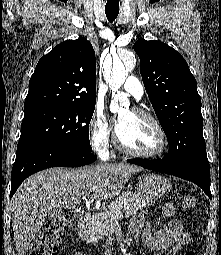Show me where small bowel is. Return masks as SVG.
I'll return each mask as SVG.
<instances>
[{
	"instance_id": "c3829d8e",
	"label": "small bowel",
	"mask_w": 221,
	"mask_h": 255,
	"mask_svg": "<svg viewBox=\"0 0 221 255\" xmlns=\"http://www.w3.org/2000/svg\"><path fill=\"white\" fill-rule=\"evenodd\" d=\"M173 214L174 207L171 204H165L163 215L171 217ZM130 233L135 239H141L150 249L154 250L155 255H164L168 250H171L170 255H177L190 241L189 234L179 221L171 220L162 229L154 231L149 223H145L141 215L132 218ZM73 255L86 254L75 252Z\"/></svg>"
}]
</instances>
